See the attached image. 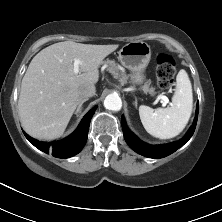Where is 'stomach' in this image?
<instances>
[{
    "label": "stomach",
    "instance_id": "obj_1",
    "mask_svg": "<svg viewBox=\"0 0 222 222\" xmlns=\"http://www.w3.org/2000/svg\"><path fill=\"white\" fill-rule=\"evenodd\" d=\"M151 59V48L146 42L135 41L124 45L119 51L120 63L131 71L133 84L143 83L144 71Z\"/></svg>",
    "mask_w": 222,
    "mask_h": 222
}]
</instances>
